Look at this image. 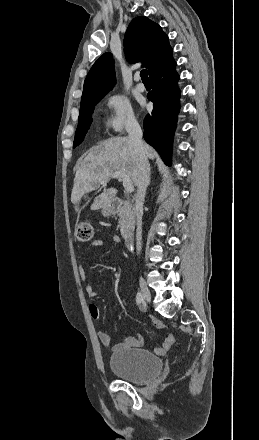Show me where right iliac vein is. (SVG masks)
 Listing matches in <instances>:
<instances>
[{"label":"right iliac vein","instance_id":"1","mask_svg":"<svg viewBox=\"0 0 259 440\" xmlns=\"http://www.w3.org/2000/svg\"><path fill=\"white\" fill-rule=\"evenodd\" d=\"M140 289H141V294L143 296V300L145 301V303H150L151 293H150L143 278H140Z\"/></svg>","mask_w":259,"mask_h":440}]
</instances>
